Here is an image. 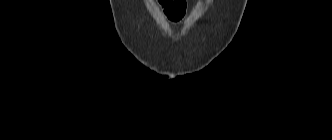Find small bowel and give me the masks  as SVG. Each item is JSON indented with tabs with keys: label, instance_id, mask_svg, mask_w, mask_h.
Here are the masks:
<instances>
[{
	"label": "small bowel",
	"instance_id": "c3829d8e",
	"mask_svg": "<svg viewBox=\"0 0 332 140\" xmlns=\"http://www.w3.org/2000/svg\"><path fill=\"white\" fill-rule=\"evenodd\" d=\"M194 1H197V0H194ZM180 18H181V16L178 18H173V20H179Z\"/></svg>",
	"mask_w": 332,
	"mask_h": 140
}]
</instances>
